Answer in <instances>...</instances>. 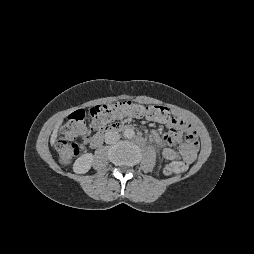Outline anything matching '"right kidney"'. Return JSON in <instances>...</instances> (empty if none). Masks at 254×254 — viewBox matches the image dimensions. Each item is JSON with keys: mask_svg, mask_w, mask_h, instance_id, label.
Wrapping results in <instances>:
<instances>
[{"mask_svg": "<svg viewBox=\"0 0 254 254\" xmlns=\"http://www.w3.org/2000/svg\"><path fill=\"white\" fill-rule=\"evenodd\" d=\"M94 156L92 153H86L80 156L73 165V170L77 174L87 173L92 165Z\"/></svg>", "mask_w": 254, "mask_h": 254, "instance_id": "right-kidney-1", "label": "right kidney"}]
</instances>
